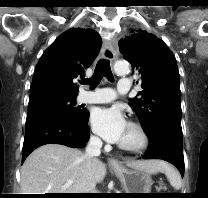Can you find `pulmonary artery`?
<instances>
[{
  "mask_svg": "<svg viewBox=\"0 0 208 198\" xmlns=\"http://www.w3.org/2000/svg\"><path fill=\"white\" fill-rule=\"evenodd\" d=\"M130 90V81L127 78L119 80L117 85V92L119 94H126ZM117 92L112 88H97L93 91H84L79 95L81 103H108L116 99Z\"/></svg>",
  "mask_w": 208,
  "mask_h": 198,
  "instance_id": "pulmonary-artery-1",
  "label": "pulmonary artery"
}]
</instances>
